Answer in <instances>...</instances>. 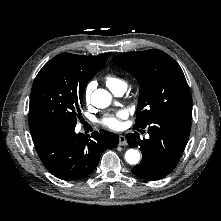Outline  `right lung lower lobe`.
I'll use <instances>...</instances> for the list:
<instances>
[{"label":"right lung lower lobe","instance_id":"obj_1","mask_svg":"<svg viewBox=\"0 0 221 221\" xmlns=\"http://www.w3.org/2000/svg\"><path fill=\"white\" fill-rule=\"evenodd\" d=\"M45 168L65 180H79L91 174L103 151L115 148L118 135L105 130L96 131L92 139L73 130L45 131L32 136Z\"/></svg>","mask_w":221,"mask_h":221}]
</instances>
